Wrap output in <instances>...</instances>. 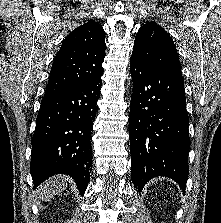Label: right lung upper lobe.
<instances>
[{
  "mask_svg": "<svg viewBox=\"0 0 221 223\" xmlns=\"http://www.w3.org/2000/svg\"><path fill=\"white\" fill-rule=\"evenodd\" d=\"M105 32L101 24L88 21L62 42L50 71L45 96L81 85L103 72Z\"/></svg>",
  "mask_w": 221,
  "mask_h": 223,
  "instance_id": "obj_1",
  "label": "right lung upper lobe"
}]
</instances>
